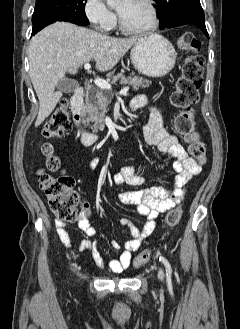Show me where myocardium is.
<instances>
[{"instance_id":"f54148a6","label":"myocardium","mask_w":240,"mask_h":329,"mask_svg":"<svg viewBox=\"0 0 240 329\" xmlns=\"http://www.w3.org/2000/svg\"><path fill=\"white\" fill-rule=\"evenodd\" d=\"M145 2L147 3L148 7L151 10V15H152L151 23L143 28H130L125 24L120 13L117 12L119 29L123 33L130 34V35L147 34V33L154 31L159 26V23H160L159 11L155 4V1L154 0H145Z\"/></svg>"}]
</instances>
